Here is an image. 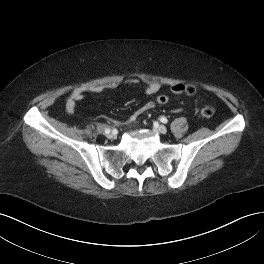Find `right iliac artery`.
<instances>
[{"label": "right iliac artery", "mask_w": 264, "mask_h": 264, "mask_svg": "<svg viewBox=\"0 0 264 264\" xmlns=\"http://www.w3.org/2000/svg\"><path fill=\"white\" fill-rule=\"evenodd\" d=\"M104 132H105L106 134H108V133H110V129H109V128H104Z\"/></svg>", "instance_id": "right-iliac-artery-1"}]
</instances>
